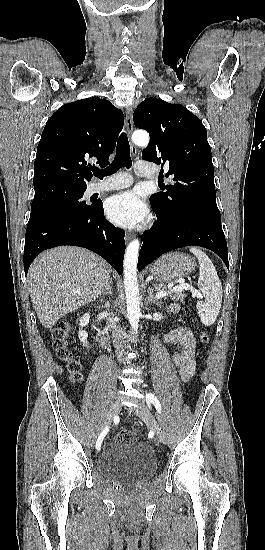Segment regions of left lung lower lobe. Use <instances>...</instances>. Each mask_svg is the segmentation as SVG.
Returning <instances> with one entry per match:
<instances>
[{
	"mask_svg": "<svg viewBox=\"0 0 265 550\" xmlns=\"http://www.w3.org/2000/svg\"><path fill=\"white\" fill-rule=\"evenodd\" d=\"M142 239L143 245L138 258L139 271L163 253L191 245L212 250L229 269L228 249L221 219L204 213L183 211L167 217L157 215V222L143 234Z\"/></svg>",
	"mask_w": 265,
	"mask_h": 550,
	"instance_id": "0a47b994",
	"label": "left lung lower lobe"
}]
</instances>
